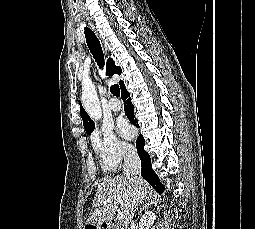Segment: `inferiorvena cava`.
<instances>
[{
  "mask_svg": "<svg viewBox=\"0 0 255 229\" xmlns=\"http://www.w3.org/2000/svg\"><path fill=\"white\" fill-rule=\"evenodd\" d=\"M124 174L127 178L134 179L141 173V161L137 150L134 147H127L124 150ZM138 199H141L140 197ZM138 209V206L135 208Z\"/></svg>",
  "mask_w": 255,
  "mask_h": 229,
  "instance_id": "602c4592",
  "label": "inferior vena cava"
}]
</instances>
